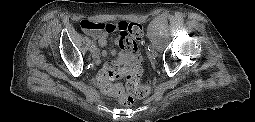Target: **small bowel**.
<instances>
[{"mask_svg":"<svg viewBox=\"0 0 255 122\" xmlns=\"http://www.w3.org/2000/svg\"><path fill=\"white\" fill-rule=\"evenodd\" d=\"M89 35L96 39L98 44L101 47H104L107 44V38L109 33L107 32H97V33H89ZM115 44L120 48V51L113 49L111 51L112 55L116 56V62L118 64L135 66L139 65L140 57H139V44L134 41L132 38H129L127 35L123 33H119L115 39ZM108 52L106 50L102 51V56L106 57ZM122 90V88H120ZM105 92V91H104ZM108 93V92H105ZM111 94V93H108ZM113 96H117L116 94H111Z\"/></svg>","mask_w":255,"mask_h":122,"instance_id":"obj_1","label":"small bowel"}]
</instances>
